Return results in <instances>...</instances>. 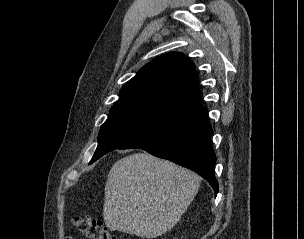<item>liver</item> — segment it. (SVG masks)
Wrapping results in <instances>:
<instances>
[{"instance_id": "liver-1", "label": "liver", "mask_w": 304, "mask_h": 239, "mask_svg": "<svg viewBox=\"0 0 304 239\" xmlns=\"http://www.w3.org/2000/svg\"><path fill=\"white\" fill-rule=\"evenodd\" d=\"M200 177L148 153L114 163L105 185L103 218L111 231L157 238L173 228L193 201Z\"/></svg>"}]
</instances>
